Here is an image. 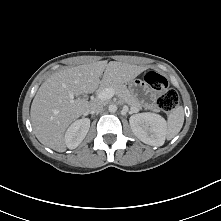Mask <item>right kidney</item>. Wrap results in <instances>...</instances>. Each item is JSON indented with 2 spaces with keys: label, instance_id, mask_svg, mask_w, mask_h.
<instances>
[{
  "label": "right kidney",
  "instance_id": "right-kidney-1",
  "mask_svg": "<svg viewBox=\"0 0 221 221\" xmlns=\"http://www.w3.org/2000/svg\"><path fill=\"white\" fill-rule=\"evenodd\" d=\"M90 128V120L83 118L75 121L65 134V144L69 149L77 148L84 140Z\"/></svg>",
  "mask_w": 221,
  "mask_h": 221
}]
</instances>
